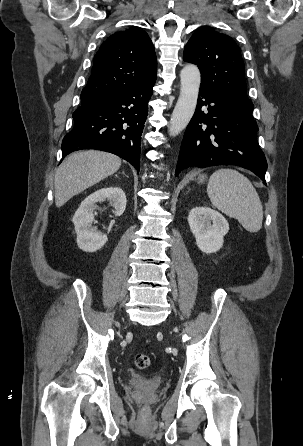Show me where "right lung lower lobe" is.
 <instances>
[{
    "mask_svg": "<svg viewBox=\"0 0 303 446\" xmlns=\"http://www.w3.org/2000/svg\"><path fill=\"white\" fill-rule=\"evenodd\" d=\"M155 81L81 103L73 113V129L63 138V157L81 149L102 150L127 160L139 172L141 134Z\"/></svg>",
    "mask_w": 303,
    "mask_h": 446,
    "instance_id": "right-lung-lower-lobe-1",
    "label": "right lung lower lobe"
}]
</instances>
